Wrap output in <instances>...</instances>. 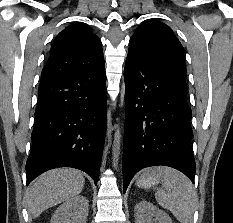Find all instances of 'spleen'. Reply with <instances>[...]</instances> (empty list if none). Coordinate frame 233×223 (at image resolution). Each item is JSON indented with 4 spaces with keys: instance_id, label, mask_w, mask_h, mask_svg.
<instances>
[{
    "instance_id": "1",
    "label": "spleen",
    "mask_w": 233,
    "mask_h": 223,
    "mask_svg": "<svg viewBox=\"0 0 233 223\" xmlns=\"http://www.w3.org/2000/svg\"><path fill=\"white\" fill-rule=\"evenodd\" d=\"M163 189H157L156 201L170 209L180 223H192L197 195L188 177L171 167H162Z\"/></svg>"
}]
</instances>
